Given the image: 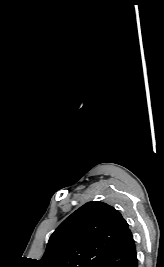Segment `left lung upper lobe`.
<instances>
[{"mask_svg":"<svg viewBox=\"0 0 164 267\" xmlns=\"http://www.w3.org/2000/svg\"><path fill=\"white\" fill-rule=\"evenodd\" d=\"M128 228L112 206L88 202L51 235L39 267H100Z\"/></svg>","mask_w":164,"mask_h":267,"instance_id":"5c2ea615","label":"left lung upper lobe"}]
</instances>
